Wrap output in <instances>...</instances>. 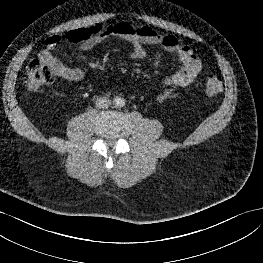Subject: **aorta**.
Instances as JSON below:
<instances>
[{"instance_id": "obj_1", "label": "aorta", "mask_w": 263, "mask_h": 263, "mask_svg": "<svg viewBox=\"0 0 263 263\" xmlns=\"http://www.w3.org/2000/svg\"><path fill=\"white\" fill-rule=\"evenodd\" d=\"M113 102H114L115 107H123L125 105V100L120 97H116L113 100Z\"/></svg>"}]
</instances>
